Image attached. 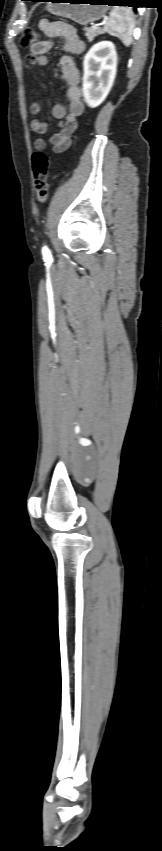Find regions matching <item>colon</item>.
<instances>
[{"label":"colon","instance_id":"5ec220e1","mask_svg":"<svg viewBox=\"0 0 162 851\" xmlns=\"http://www.w3.org/2000/svg\"><path fill=\"white\" fill-rule=\"evenodd\" d=\"M40 40L39 32L34 28H28L24 31L21 38V45L23 47H31L36 44ZM49 168H50V159L46 153L41 150H37L32 155V169L35 180V187L37 191V197L39 202L45 203L48 199V191H49Z\"/></svg>","mask_w":162,"mask_h":851}]
</instances>
